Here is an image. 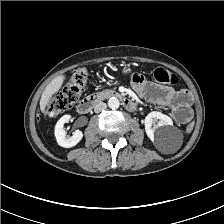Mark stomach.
<instances>
[{"label":"stomach","instance_id":"obj_1","mask_svg":"<svg viewBox=\"0 0 224 224\" xmlns=\"http://www.w3.org/2000/svg\"><path fill=\"white\" fill-rule=\"evenodd\" d=\"M123 73H125V74L130 73V69L127 68V67H125V68L123 69Z\"/></svg>","mask_w":224,"mask_h":224}]
</instances>
